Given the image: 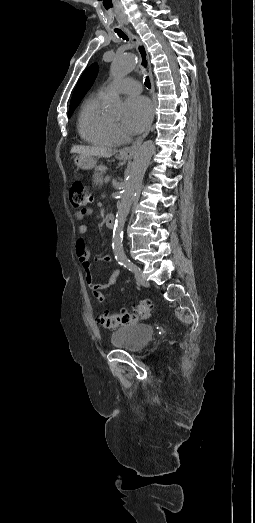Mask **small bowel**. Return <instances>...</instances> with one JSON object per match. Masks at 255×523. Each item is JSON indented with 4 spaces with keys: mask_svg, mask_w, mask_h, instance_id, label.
Masks as SVG:
<instances>
[{
    "mask_svg": "<svg viewBox=\"0 0 255 523\" xmlns=\"http://www.w3.org/2000/svg\"><path fill=\"white\" fill-rule=\"evenodd\" d=\"M90 214H92V210L90 208H84V209L77 211L75 214V217L77 220L81 221ZM87 232H88V226L86 224H81L78 227V238L76 241L75 252H76V255L78 257V260H79L81 266L85 270L86 281H87V284L89 285V287L91 289L97 290V291L106 290L116 284L118 277L120 275V270L119 269L113 270L106 283L100 284V283H96L94 281L93 276L90 271L91 254H90V251L87 249L86 242H85V236H86ZM99 259L105 260L107 262H112V257L109 254L100 256Z\"/></svg>",
    "mask_w": 255,
    "mask_h": 523,
    "instance_id": "small-bowel-1",
    "label": "small bowel"
}]
</instances>
